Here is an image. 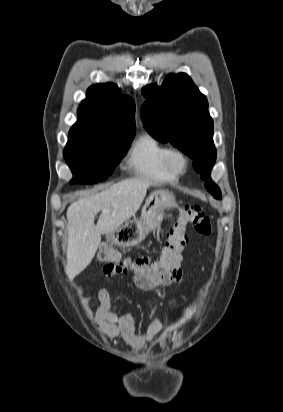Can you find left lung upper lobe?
<instances>
[{
	"label": "left lung upper lobe",
	"mask_w": 283,
	"mask_h": 412,
	"mask_svg": "<svg viewBox=\"0 0 283 412\" xmlns=\"http://www.w3.org/2000/svg\"><path fill=\"white\" fill-rule=\"evenodd\" d=\"M142 94L148 99L141 107L145 129L155 139L171 142L188 155L206 180L207 190L221 199L219 187L210 179L217 153L206 97L184 73L167 76L161 87L147 85Z\"/></svg>",
	"instance_id": "obj_1"
}]
</instances>
